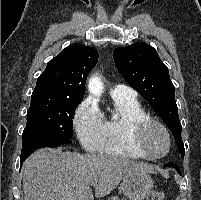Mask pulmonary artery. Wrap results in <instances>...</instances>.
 Returning a JSON list of instances; mask_svg holds the SVG:
<instances>
[{
	"label": "pulmonary artery",
	"instance_id": "e3ab8cb5",
	"mask_svg": "<svg viewBox=\"0 0 201 200\" xmlns=\"http://www.w3.org/2000/svg\"><path fill=\"white\" fill-rule=\"evenodd\" d=\"M111 96H125V97L135 98L136 93L131 88L125 85L118 84L112 88Z\"/></svg>",
	"mask_w": 201,
	"mask_h": 200
}]
</instances>
